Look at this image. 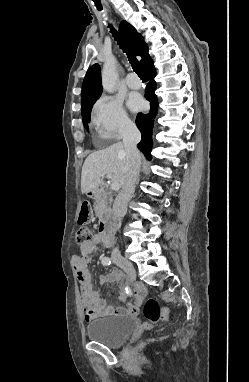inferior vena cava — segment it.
Listing matches in <instances>:
<instances>
[{
	"label": "inferior vena cava",
	"instance_id": "602c4592",
	"mask_svg": "<svg viewBox=\"0 0 249 382\" xmlns=\"http://www.w3.org/2000/svg\"><path fill=\"white\" fill-rule=\"evenodd\" d=\"M141 139V133L137 126L133 123L128 124L125 128L123 136V145L129 159V167L126 173L125 181L122 189L115 199L113 212L117 218H122L127 212V204L133 196L135 185L138 181L140 169V154L137 149V144ZM120 251L118 248L113 249L112 257H119Z\"/></svg>",
	"mask_w": 249,
	"mask_h": 382
}]
</instances>
